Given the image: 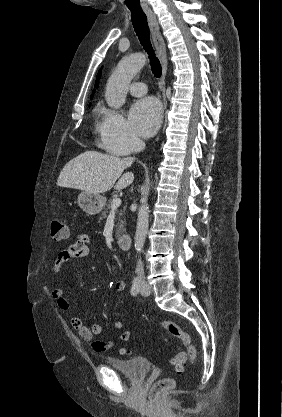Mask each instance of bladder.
<instances>
[{
    "label": "bladder",
    "instance_id": "1",
    "mask_svg": "<svg viewBox=\"0 0 282 417\" xmlns=\"http://www.w3.org/2000/svg\"><path fill=\"white\" fill-rule=\"evenodd\" d=\"M106 363L134 383L142 382L151 371V362L142 356L107 358Z\"/></svg>",
    "mask_w": 282,
    "mask_h": 417
}]
</instances>
